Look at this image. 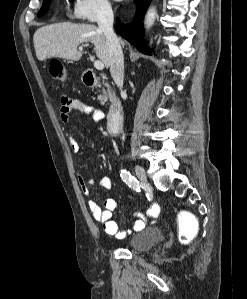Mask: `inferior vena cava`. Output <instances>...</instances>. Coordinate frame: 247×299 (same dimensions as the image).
<instances>
[{"label": "inferior vena cava", "mask_w": 247, "mask_h": 299, "mask_svg": "<svg viewBox=\"0 0 247 299\" xmlns=\"http://www.w3.org/2000/svg\"><path fill=\"white\" fill-rule=\"evenodd\" d=\"M114 14L109 4H104L98 12V28L107 39L110 58V72L116 85L121 89L124 78V57L121 44L113 31Z\"/></svg>", "instance_id": "obj_1"}]
</instances>
